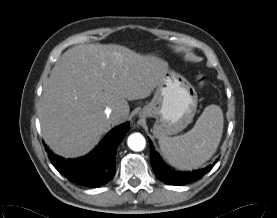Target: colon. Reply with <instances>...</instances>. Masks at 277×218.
I'll use <instances>...</instances> for the list:
<instances>
[{"instance_id":"obj_1","label":"colon","mask_w":277,"mask_h":218,"mask_svg":"<svg viewBox=\"0 0 277 218\" xmlns=\"http://www.w3.org/2000/svg\"><path fill=\"white\" fill-rule=\"evenodd\" d=\"M204 84H205V80H204V78L203 77H199L198 79H197V85H198V87H203L204 86Z\"/></svg>"}]
</instances>
